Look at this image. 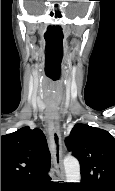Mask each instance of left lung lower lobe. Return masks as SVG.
Segmentation results:
<instances>
[{
    "instance_id": "0a47b994",
    "label": "left lung lower lobe",
    "mask_w": 115,
    "mask_h": 191,
    "mask_svg": "<svg viewBox=\"0 0 115 191\" xmlns=\"http://www.w3.org/2000/svg\"><path fill=\"white\" fill-rule=\"evenodd\" d=\"M87 191H98V190H95V189H89V188H85Z\"/></svg>"
}]
</instances>
